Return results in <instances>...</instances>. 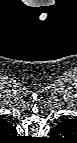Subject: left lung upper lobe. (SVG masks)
Instances as JSON below:
<instances>
[{
	"instance_id": "1",
	"label": "left lung upper lobe",
	"mask_w": 77,
	"mask_h": 143,
	"mask_svg": "<svg viewBox=\"0 0 77 143\" xmlns=\"http://www.w3.org/2000/svg\"><path fill=\"white\" fill-rule=\"evenodd\" d=\"M69 125H71V122L69 120H65L58 124L53 130H55L56 134H63Z\"/></svg>"
}]
</instances>
